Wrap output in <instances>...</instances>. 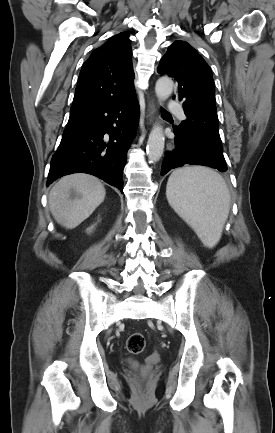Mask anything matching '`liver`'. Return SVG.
<instances>
[{"mask_svg": "<svg viewBox=\"0 0 275 433\" xmlns=\"http://www.w3.org/2000/svg\"><path fill=\"white\" fill-rule=\"evenodd\" d=\"M105 194L98 178L84 173L71 174L52 187L49 208L58 224L74 229L104 201Z\"/></svg>", "mask_w": 275, "mask_h": 433, "instance_id": "obj_1", "label": "liver"}]
</instances>
